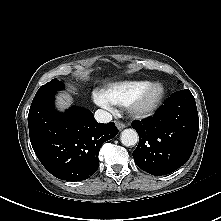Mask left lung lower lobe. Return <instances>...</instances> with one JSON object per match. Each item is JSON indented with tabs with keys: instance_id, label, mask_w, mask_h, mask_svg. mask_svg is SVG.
<instances>
[{
	"instance_id": "0a47b994",
	"label": "left lung lower lobe",
	"mask_w": 221,
	"mask_h": 221,
	"mask_svg": "<svg viewBox=\"0 0 221 221\" xmlns=\"http://www.w3.org/2000/svg\"><path fill=\"white\" fill-rule=\"evenodd\" d=\"M139 134L133 152L139 168L149 174H169L190 158L199 129L195 99L190 90L168 97L153 117L132 123Z\"/></svg>"
}]
</instances>
